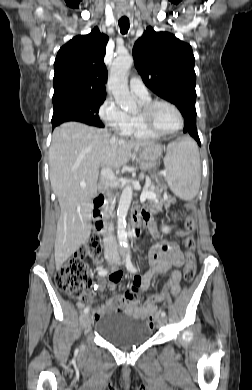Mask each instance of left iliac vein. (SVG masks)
<instances>
[{
    "label": "left iliac vein",
    "mask_w": 252,
    "mask_h": 390,
    "mask_svg": "<svg viewBox=\"0 0 252 390\" xmlns=\"http://www.w3.org/2000/svg\"><path fill=\"white\" fill-rule=\"evenodd\" d=\"M122 255H124V252L122 251ZM116 264L117 265H121L122 264V261H121V258L120 257H118V258H116ZM158 322H159V324H164L165 322H166V318H164V317H158Z\"/></svg>",
    "instance_id": "1"
}]
</instances>
